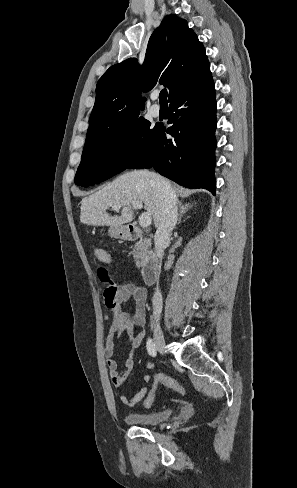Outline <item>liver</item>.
<instances>
[{"instance_id":"obj_1","label":"liver","mask_w":297,"mask_h":488,"mask_svg":"<svg viewBox=\"0 0 297 488\" xmlns=\"http://www.w3.org/2000/svg\"><path fill=\"white\" fill-rule=\"evenodd\" d=\"M156 176L159 175L147 170H134L120 175L98 192L82 199L80 222L93 226H122L133 220L131 203L138 200L144 204L146 213L152 215L155 226H158L162 209ZM162 179L170 184L168 180ZM117 204L122 207L120 215L110 216L107 209Z\"/></svg>"}]
</instances>
